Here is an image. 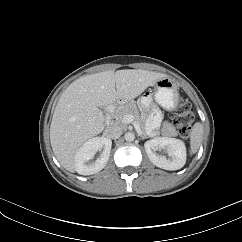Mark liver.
I'll list each match as a JSON object with an SVG mask.
<instances>
[{
  "mask_svg": "<svg viewBox=\"0 0 242 242\" xmlns=\"http://www.w3.org/2000/svg\"><path fill=\"white\" fill-rule=\"evenodd\" d=\"M164 77L161 73L125 69L83 76L71 83L56 105L50 126L51 146L60 164L70 172L76 170L77 150L105 128L100 107L119 100L128 103Z\"/></svg>",
  "mask_w": 242,
  "mask_h": 242,
  "instance_id": "liver-1",
  "label": "liver"
}]
</instances>
